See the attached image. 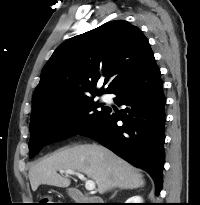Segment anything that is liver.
Returning <instances> with one entry per match:
<instances>
[{"mask_svg":"<svg viewBox=\"0 0 200 205\" xmlns=\"http://www.w3.org/2000/svg\"><path fill=\"white\" fill-rule=\"evenodd\" d=\"M58 170L87 175L101 194L116 187L136 189L145 184L141 173L110 150L96 144H83L61 150L32 165L29 170L32 190L36 191L41 184L67 188L71 181L58 174Z\"/></svg>","mask_w":200,"mask_h":205,"instance_id":"6515ba94","label":"liver"}]
</instances>
